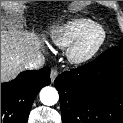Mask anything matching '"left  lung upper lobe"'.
Returning a JSON list of instances; mask_svg holds the SVG:
<instances>
[{
    "label": "left lung upper lobe",
    "instance_id": "1",
    "mask_svg": "<svg viewBox=\"0 0 123 123\" xmlns=\"http://www.w3.org/2000/svg\"><path fill=\"white\" fill-rule=\"evenodd\" d=\"M118 48H123V39L120 40Z\"/></svg>",
    "mask_w": 123,
    "mask_h": 123
}]
</instances>
